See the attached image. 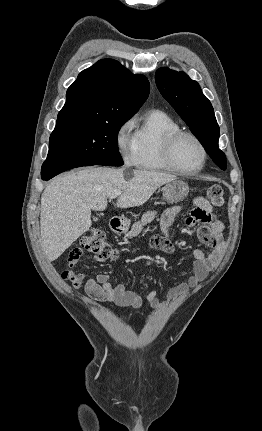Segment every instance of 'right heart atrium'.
Here are the masks:
<instances>
[{
  "label": "right heart atrium",
  "instance_id": "1",
  "mask_svg": "<svg viewBox=\"0 0 262 431\" xmlns=\"http://www.w3.org/2000/svg\"><path fill=\"white\" fill-rule=\"evenodd\" d=\"M133 121H125L118 129L116 134V146L127 164L134 163L135 139L133 134Z\"/></svg>",
  "mask_w": 262,
  "mask_h": 431
}]
</instances>
